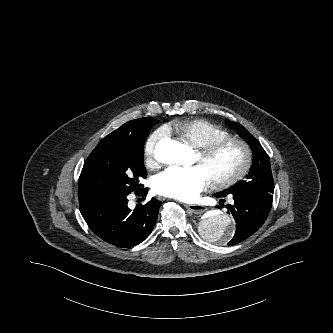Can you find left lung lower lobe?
<instances>
[{
  "instance_id": "1",
  "label": "left lung lower lobe",
  "mask_w": 333,
  "mask_h": 333,
  "mask_svg": "<svg viewBox=\"0 0 333 333\" xmlns=\"http://www.w3.org/2000/svg\"><path fill=\"white\" fill-rule=\"evenodd\" d=\"M224 191L216 193V197H225ZM234 204L226 207L228 213L232 214L236 222V232L228 245L232 246L247 239L254 234L267 219L271 206V198L255 194H230Z\"/></svg>"
}]
</instances>
